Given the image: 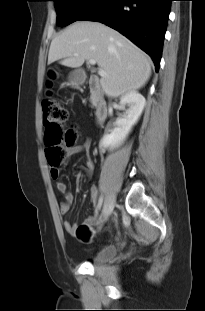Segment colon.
<instances>
[{
    "instance_id": "colon-1",
    "label": "colon",
    "mask_w": 205,
    "mask_h": 311,
    "mask_svg": "<svg viewBox=\"0 0 205 311\" xmlns=\"http://www.w3.org/2000/svg\"><path fill=\"white\" fill-rule=\"evenodd\" d=\"M48 76V85H51L56 73L51 71ZM42 117L45 127L46 157L51 169L57 170V167L67 156L68 149L77 145L78 132L74 128L65 127L68 112L53 97H47L42 101ZM91 235V228L85 224L79 226L75 231V236L82 240L89 239Z\"/></svg>"
}]
</instances>
